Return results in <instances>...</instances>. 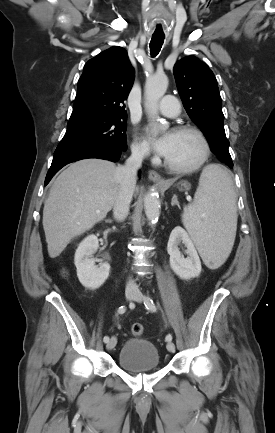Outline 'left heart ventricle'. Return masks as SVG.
I'll return each mask as SVG.
<instances>
[{"instance_id":"obj_1","label":"left heart ventricle","mask_w":275,"mask_h":433,"mask_svg":"<svg viewBox=\"0 0 275 433\" xmlns=\"http://www.w3.org/2000/svg\"><path fill=\"white\" fill-rule=\"evenodd\" d=\"M172 140L168 154L165 158L173 165L189 167L196 164L203 153L200 140L193 134L171 133Z\"/></svg>"}]
</instances>
